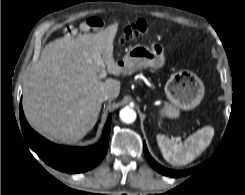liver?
<instances>
[{
    "mask_svg": "<svg viewBox=\"0 0 245 195\" xmlns=\"http://www.w3.org/2000/svg\"><path fill=\"white\" fill-rule=\"evenodd\" d=\"M118 24L95 34L64 37L47 44L23 92L30 125L43 136L72 144L94 126L102 104L99 97L120 93V82L99 80L100 67L119 76L123 68L113 57Z\"/></svg>",
    "mask_w": 245,
    "mask_h": 195,
    "instance_id": "liver-1",
    "label": "liver"
}]
</instances>
